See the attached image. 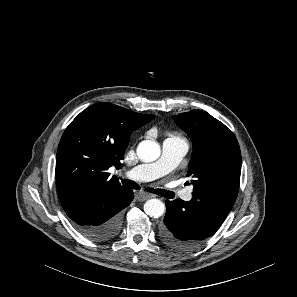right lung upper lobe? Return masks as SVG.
I'll list each match as a JSON object with an SVG mask.
<instances>
[{"instance_id":"cb5924a9","label":"right lung upper lobe","mask_w":297,"mask_h":297,"mask_svg":"<svg viewBox=\"0 0 297 297\" xmlns=\"http://www.w3.org/2000/svg\"><path fill=\"white\" fill-rule=\"evenodd\" d=\"M153 118L109 103H97L82 111L64 131L57 150L56 182L62 206L84 191L123 189L107 170L122 167L120 161L131 132Z\"/></svg>"}]
</instances>
